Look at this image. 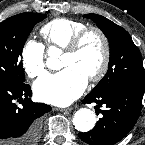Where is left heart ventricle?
<instances>
[{
    "instance_id": "b2bd125f",
    "label": "left heart ventricle",
    "mask_w": 145,
    "mask_h": 145,
    "mask_svg": "<svg viewBox=\"0 0 145 145\" xmlns=\"http://www.w3.org/2000/svg\"><path fill=\"white\" fill-rule=\"evenodd\" d=\"M103 47L100 38L89 34L82 42L79 49L74 53L64 52L61 57V67L74 66L87 78L94 75L102 62Z\"/></svg>"
}]
</instances>
